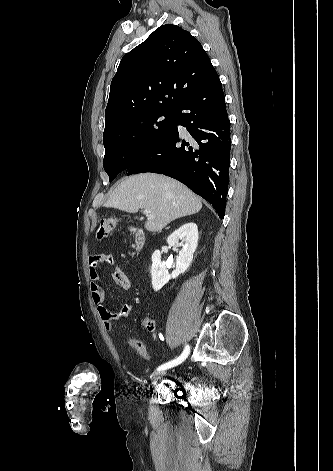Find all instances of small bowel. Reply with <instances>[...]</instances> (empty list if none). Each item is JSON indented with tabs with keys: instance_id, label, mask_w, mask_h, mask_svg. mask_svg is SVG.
I'll return each instance as SVG.
<instances>
[{
	"instance_id": "1",
	"label": "small bowel",
	"mask_w": 333,
	"mask_h": 471,
	"mask_svg": "<svg viewBox=\"0 0 333 471\" xmlns=\"http://www.w3.org/2000/svg\"><path fill=\"white\" fill-rule=\"evenodd\" d=\"M113 264H115V269L111 273L112 279L123 290H130L132 285L131 279L122 265L116 262V258L113 254H96L90 256L88 260L91 297L97 307L103 326L107 331L112 330L114 321L124 319L131 311V305L128 302L124 303L118 312H112L104 305V291L99 284L101 277L99 267Z\"/></svg>"
}]
</instances>
